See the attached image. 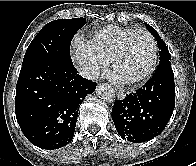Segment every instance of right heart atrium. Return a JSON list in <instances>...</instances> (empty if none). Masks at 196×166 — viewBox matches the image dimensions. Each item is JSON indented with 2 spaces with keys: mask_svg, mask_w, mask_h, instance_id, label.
<instances>
[{
  "mask_svg": "<svg viewBox=\"0 0 196 166\" xmlns=\"http://www.w3.org/2000/svg\"><path fill=\"white\" fill-rule=\"evenodd\" d=\"M71 55L81 73L88 78L96 76L109 65V61L100 56L87 40L79 37L72 42Z\"/></svg>",
  "mask_w": 196,
  "mask_h": 166,
  "instance_id": "1",
  "label": "right heart atrium"
}]
</instances>
